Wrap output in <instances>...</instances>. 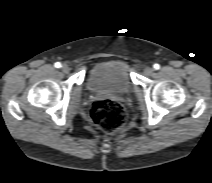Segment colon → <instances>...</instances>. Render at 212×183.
I'll return each mask as SVG.
<instances>
[{
  "mask_svg": "<svg viewBox=\"0 0 212 183\" xmlns=\"http://www.w3.org/2000/svg\"><path fill=\"white\" fill-rule=\"evenodd\" d=\"M92 123L108 134L122 130L128 121L127 114L120 103L112 99H99L90 106Z\"/></svg>",
  "mask_w": 212,
  "mask_h": 183,
  "instance_id": "1",
  "label": "colon"
}]
</instances>
